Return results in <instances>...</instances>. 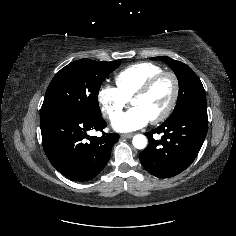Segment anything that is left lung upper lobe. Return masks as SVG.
<instances>
[{"instance_id": "5c2ea615", "label": "left lung upper lobe", "mask_w": 236, "mask_h": 236, "mask_svg": "<svg viewBox=\"0 0 236 236\" xmlns=\"http://www.w3.org/2000/svg\"><path fill=\"white\" fill-rule=\"evenodd\" d=\"M151 59H160L165 62L175 72L179 81V93L174 111L166 121H170L190 108L197 106H206V95L204 87L186 64L173 60L166 56L153 57Z\"/></svg>"}]
</instances>
